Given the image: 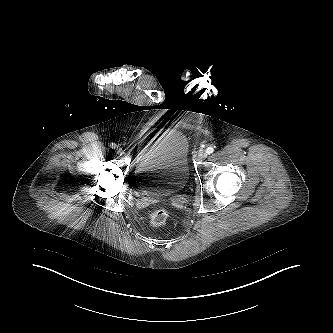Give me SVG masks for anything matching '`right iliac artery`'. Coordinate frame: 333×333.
Returning a JSON list of instances; mask_svg holds the SVG:
<instances>
[{
    "mask_svg": "<svg viewBox=\"0 0 333 333\" xmlns=\"http://www.w3.org/2000/svg\"><path fill=\"white\" fill-rule=\"evenodd\" d=\"M110 147L113 148V149H115L117 146H116L115 143H111V144H110Z\"/></svg>",
    "mask_w": 333,
    "mask_h": 333,
    "instance_id": "82829eb1",
    "label": "right iliac artery"
}]
</instances>
